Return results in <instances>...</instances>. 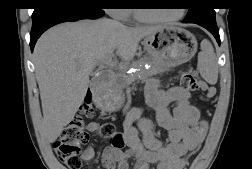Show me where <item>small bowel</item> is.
<instances>
[{"instance_id":"1","label":"small bowel","mask_w":252,"mask_h":169,"mask_svg":"<svg viewBox=\"0 0 252 169\" xmlns=\"http://www.w3.org/2000/svg\"><path fill=\"white\" fill-rule=\"evenodd\" d=\"M190 93L180 87L159 89L155 80L146 86L147 107L154 113L157 124L168 131L169 142L163 145L153 134L154 123L144 117L141 108L131 109L125 118L122 135L126 148L111 144L103 153V165L107 169H129L128 160L136 159L135 169H183L189 156L203 142L207 124L200 120L198 109L190 103ZM174 106L170 110L169 105ZM101 123L87 125L89 132H99ZM95 154L92 145L87 146L84 158Z\"/></svg>"}]
</instances>
